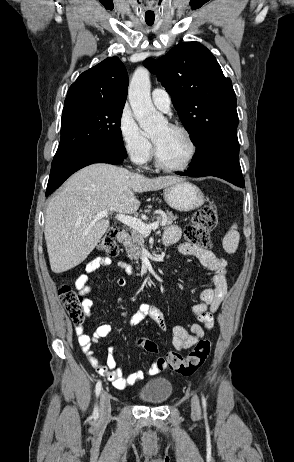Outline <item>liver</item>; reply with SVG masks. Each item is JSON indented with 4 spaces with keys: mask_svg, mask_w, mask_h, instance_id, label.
I'll list each match as a JSON object with an SVG mask.
<instances>
[{
    "mask_svg": "<svg viewBox=\"0 0 294 462\" xmlns=\"http://www.w3.org/2000/svg\"><path fill=\"white\" fill-rule=\"evenodd\" d=\"M177 176L148 178L108 164H92L72 175L46 209L44 235L51 270L68 271L83 262L109 228L101 212L135 213V192L156 191L182 181Z\"/></svg>",
    "mask_w": 294,
    "mask_h": 462,
    "instance_id": "6515ba94",
    "label": "liver"
}]
</instances>
